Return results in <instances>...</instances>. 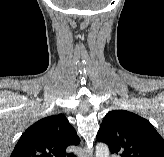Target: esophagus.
I'll return each instance as SVG.
<instances>
[{"label":"esophagus","mask_w":164,"mask_h":157,"mask_svg":"<svg viewBox=\"0 0 164 157\" xmlns=\"http://www.w3.org/2000/svg\"><path fill=\"white\" fill-rule=\"evenodd\" d=\"M83 155L84 157H91L92 153H90V151L87 148H84Z\"/></svg>","instance_id":"34e87169"}]
</instances>
